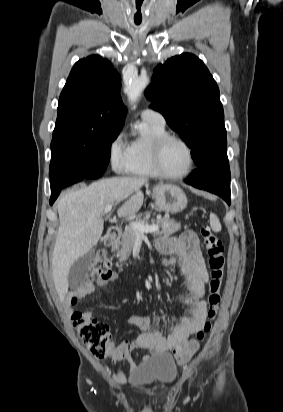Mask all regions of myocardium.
<instances>
[{"instance_id":"myocardium-1","label":"myocardium","mask_w":283,"mask_h":412,"mask_svg":"<svg viewBox=\"0 0 283 412\" xmlns=\"http://www.w3.org/2000/svg\"><path fill=\"white\" fill-rule=\"evenodd\" d=\"M170 141H177L181 143L188 151L189 166L183 173L170 174L164 171L162 167V164H161L162 152L166 144ZM152 160H153V165L157 172V175L163 178H167V179L185 178L193 171L194 166H195V155H194V150L192 146L181 136L176 135V134H170V133H166L160 136L158 139H156L153 145V149H152Z\"/></svg>"}]
</instances>
